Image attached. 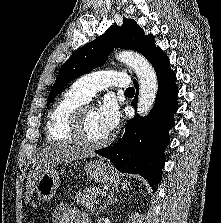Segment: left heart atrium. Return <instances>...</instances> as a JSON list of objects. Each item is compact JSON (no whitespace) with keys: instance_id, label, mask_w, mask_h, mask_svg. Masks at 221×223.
Returning <instances> with one entry per match:
<instances>
[{"instance_id":"left-heart-atrium-1","label":"left heart atrium","mask_w":221,"mask_h":223,"mask_svg":"<svg viewBox=\"0 0 221 223\" xmlns=\"http://www.w3.org/2000/svg\"><path fill=\"white\" fill-rule=\"evenodd\" d=\"M97 117L103 129L110 134L120 122L121 113L116 101L107 97L96 110Z\"/></svg>"}]
</instances>
